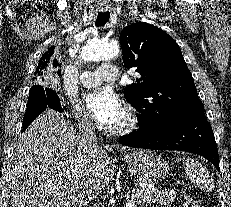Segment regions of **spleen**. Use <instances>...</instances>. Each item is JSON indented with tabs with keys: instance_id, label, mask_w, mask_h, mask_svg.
I'll list each match as a JSON object with an SVG mask.
<instances>
[{
	"instance_id": "3e777b00",
	"label": "spleen",
	"mask_w": 231,
	"mask_h": 207,
	"mask_svg": "<svg viewBox=\"0 0 231 207\" xmlns=\"http://www.w3.org/2000/svg\"><path fill=\"white\" fill-rule=\"evenodd\" d=\"M183 166L189 179L203 189L211 190L214 187L213 181L209 178L208 172L200 162L192 158L183 157Z\"/></svg>"
}]
</instances>
